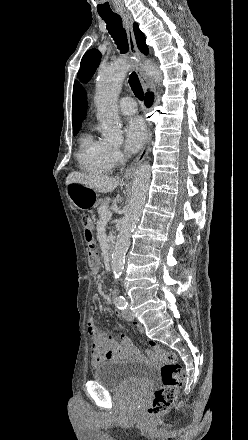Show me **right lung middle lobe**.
<instances>
[{
	"label": "right lung middle lobe",
	"instance_id": "right-lung-middle-lobe-1",
	"mask_svg": "<svg viewBox=\"0 0 248 440\" xmlns=\"http://www.w3.org/2000/svg\"><path fill=\"white\" fill-rule=\"evenodd\" d=\"M78 132H79V130H74L73 135L75 136Z\"/></svg>",
	"mask_w": 248,
	"mask_h": 440
}]
</instances>
